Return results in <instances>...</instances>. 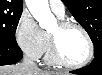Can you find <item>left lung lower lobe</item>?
Instances as JSON below:
<instances>
[{"label":"left lung lower lobe","mask_w":102,"mask_h":75,"mask_svg":"<svg viewBox=\"0 0 102 75\" xmlns=\"http://www.w3.org/2000/svg\"><path fill=\"white\" fill-rule=\"evenodd\" d=\"M71 73L81 75H102V52L95 55V58L90 65L71 71Z\"/></svg>","instance_id":"obj_1"}]
</instances>
